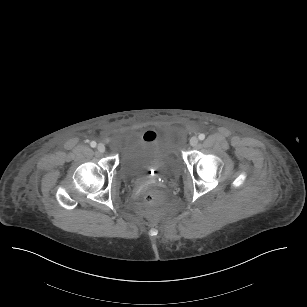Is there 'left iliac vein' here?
<instances>
[{"label":"left iliac vein","instance_id":"1","mask_svg":"<svg viewBox=\"0 0 307 307\" xmlns=\"http://www.w3.org/2000/svg\"><path fill=\"white\" fill-rule=\"evenodd\" d=\"M198 144V138L197 137H192L190 139V145L191 146H196Z\"/></svg>","mask_w":307,"mask_h":307}]
</instances>
